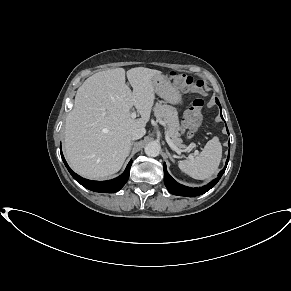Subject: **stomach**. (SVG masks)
Returning a JSON list of instances; mask_svg holds the SVG:
<instances>
[{"label": "stomach", "mask_w": 291, "mask_h": 291, "mask_svg": "<svg viewBox=\"0 0 291 291\" xmlns=\"http://www.w3.org/2000/svg\"><path fill=\"white\" fill-rule=\"evenodd\" d=\"M152 81L156 93L161 98L170 104H182V94L180 93L179 88L172 84L167 77L157 75Z\"/></svg>", "instance_id": "obj_1"}]
</instances>
